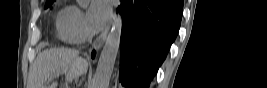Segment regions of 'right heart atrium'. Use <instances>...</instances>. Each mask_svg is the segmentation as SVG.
<instances>
[{
	"label": "right heart atrium",
	"mask_w": 267,
	"mask_h": 88,
	"mask_svg": "<svg viewBox=\"0 0 267 88\" xmlns=\"http://www.w3.org/2000/svg\"><path fill=\"white\" fill-rule=\"evenodd\" d=\"M60 37L69 43L82 42L87 35V26L82 12L76 7H69L58 17Z\"/></svg>",
	"instance_id": "d8ad5b80"
}]
</instances>
